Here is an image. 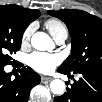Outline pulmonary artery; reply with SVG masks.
<instances>
[{"instance_id": "pulmonary-artery-1", "label": "pulmonary artery", "mask_w": 102, "mask_h": 102, "mask_svg": "<svg viewBox=\"0 0 102 102\" xmlns=\"http://www.w3.org/2000/svg\"><path fill=\"white\" fill-rule=\"evenodd\" d=\"M67 36L66 35H60L59 37L55 38V41L58 45H62L64 44V42L66 41Z\"/></svg>"}]
</instances>
